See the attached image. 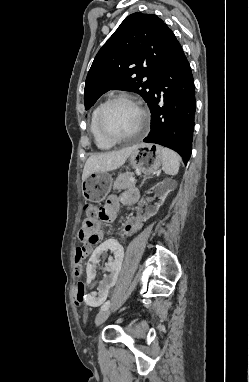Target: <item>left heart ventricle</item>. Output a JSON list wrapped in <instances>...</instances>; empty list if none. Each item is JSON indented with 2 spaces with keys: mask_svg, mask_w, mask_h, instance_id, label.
<instances>
[{
  "mask_svg": "<svg viewBox=\"0 0 249 382\" xmlns=\"http://www.w3.org/2000/svg\"><path fill=\"white\" fill-rule=\"evenodd\" d=\"M140 113L129 102H116L108 107L104 116L107 131L115 137L133 134L139 125Z\"/></svg>",
  "mask_w": 249,
  "mask_h": 382,
  "instance_id": "b2bd125f",
  "label": "left heart ventricle"
}]
</instances>
